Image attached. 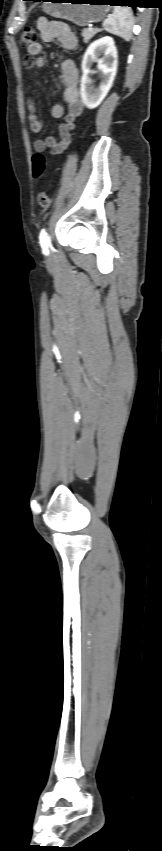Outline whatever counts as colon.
Returning <instances> with one entry per match:
<instances>
[{"label": "colon", "mask_w": 162, "mask_h": 851, "mask_svg": "<svg viewBox=\"0 0 162 851\" xmlns=\"http://www.w3.org/2000/svg\"><path fill=\"white\" fill-rule=\"evenodd\" d=\"M38 34L32 27H26L20 37V45L28 48L37 42ZM46 170V159L41 153L34 154L32 158V172L36 180L42 179ZM37 204L41 208H47L50 205L49 195L45 190H41L37 195Z\"/></svg>", "instance_id": "5ec220e1"}]
</instances>
